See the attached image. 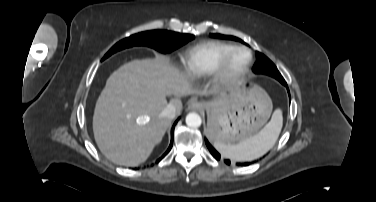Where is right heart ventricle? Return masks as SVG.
<instances>
[{
	"instance_id": "e07e8e85",
	"label": "right heart ventricle",
	"mask_w": 376,
	"mask_h": 202,
	"mask_svg": "<svg viewBox=\"0 0 376 202\" xmlns=\"http://www.w3.org/2000/svg\"><path fill=\"white\" fill-rule=\"evenodd\" d=\"M235 46L220 41H207L190 48L183 57V70L190 77L214 73L223 55Z\"/></svg>"
}]
</instances>
